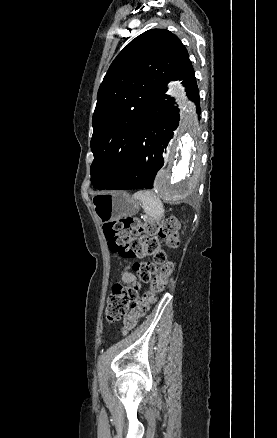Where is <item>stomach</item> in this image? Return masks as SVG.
<instances>
[{"label": "stomach", "mask_w": 277, "mask_h": 438, "mask_svg": "<svg viewBox=\"0 0 277 438\" xmlns=\"http://www.w3.org/2000/svg\"><path fill=\"white\" fill-rule=\"evenodd\" d=\"M92 204L101 223L133 216L139 209L138 201L125 191H111L95 195L92 198Z\"/></svg>", "instance_id": "1"}]
</instances>
